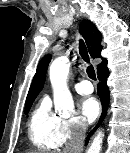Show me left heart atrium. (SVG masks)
<instances>
[{
  "label": "left heart atrium",
  "instance_id": "39dd6f15",
  "mask_svg": "<svg viewBox=\"0 0 130 153\" xmlns=\"http://www.w3.org/2000/svg\"><path fill=\"white\" fill-rule=\"evenodd\" d=\"M79 110L86 120L93 121L99 114V103L94 97H85L79 103Z\"/></svg>",
  "mask_w": 130,
  "mask_h": 153
}]
</instances>
